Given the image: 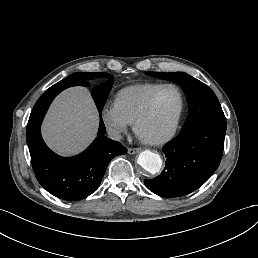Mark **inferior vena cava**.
<instances>
[{
  "label": "inferior vena cava",
  "instance_id": "inferior-vena-cava-1",
  "mask_svg": "<svg viewBox=\"0 0 258 258\" xmlns=\"http://www.w3.org/2000/svg\"><path fill=\"white\" fill-rule=\"evenodd\" d=\"M108 132V135L111 139L113 140H120L121 139V134H120V131H118L117 129L115 128H109L107 130Z\"/></svg>",
  "mask_w": 258,
  "mask_h": 258
}]
</instances>
